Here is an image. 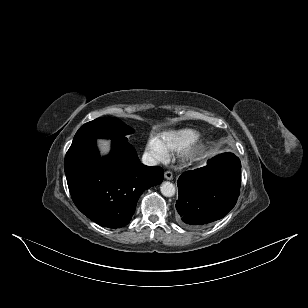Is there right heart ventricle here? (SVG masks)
<instances>
[{
	"instance_id": "e07e8e85",
	"label": "right heart ventricle",
	"mask_w": 308,
	"mask_h": 308,
	"mask_svg": "<svg viewBox=\"0 0 308 308\" xmlns=\"http://www.w3.org/2000/svg\"><path fill=\"white\" fill-rule=\"evenodd\" d=\"M199 136V133L191 128L170 130L159 134L157 141L166 152H177L187 148Z\"/></svg>"
}]
</instances>
